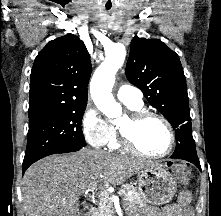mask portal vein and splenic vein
<instances>
[{
	"mask_svg": "<svg viewBox=\"0 0 221 216\" xmlns=\"http://www.w3.org/2000/svg\"><path fill=\"white\" fill-rule=\"evenodd\" d=\"M90 191H93V190H92V189H88V190L86 191V193H88V192H90ZM123 193H124V190H123V189L119 191V195H122ZM128 194L131 195L132 192H128ZM102 196H103V197H108L106 193L102 194Z\"/></svg>",
	"mask_w": 221,
	"mask_h": 216,
	"instance_id": "obj_1",
	"label": "portal vein and splenic vein"
}]
</instances>
